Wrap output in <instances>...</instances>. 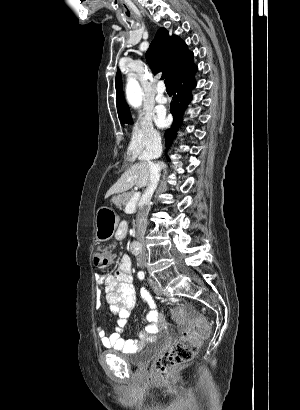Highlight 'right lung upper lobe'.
<instances>
[{"label": "right lung upper lobe", "mask_w": 300, "mask_h": 410, "mask_svg": "<svg viewBox=\"0 0 300 410\" xmlns=\"http://www.w3.org/2000/svg\"><path fill=\"white\" fill-rule=\"evenodd\" d=\"M146 60L154 73L163 71L164 77L172 79L187 68L193 61V52L178 36H169L165 28H160L149 49L146 52ZM116 104L119 119L121 121L132 120L128 105L123 97L122 78L120 70H117L116 79Z\"/></svg>", "instance_id": "1"}]
</instances>
